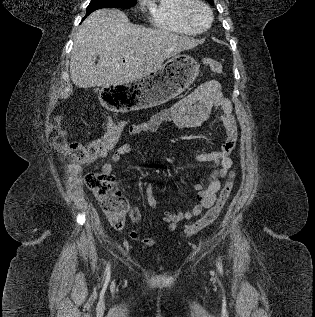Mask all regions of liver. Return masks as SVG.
Returning <instances> with one entry per match:
<instances>
[{
	"instance_id": "obj_1",
	"label": "liver",
	"mask_w": 315,
	"mask_h": 317,
	"mask_svg": "<svg viewBox=\"0 0 315 317\" xmlns=\"http://www.w3.org/2000/svg\"><path fill=\"white\" fill-rule=\"evenodd\" d=\"M198 43L188 36L133 25L120 10L100 9L78 30L70 77L79 88L123 85L156 72L166 59Z\"/></svg>"
}]
</instances>
